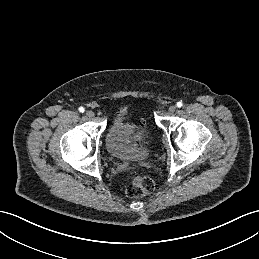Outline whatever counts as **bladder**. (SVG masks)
<instances>
[{
	"label": "bladder",
	"instance_id": "obj_1",
	"mask_svg": "<svg viewBox=\"0 0 259 259\" xmlns=\"http://www.w3.org/2000/svg\"><path fill=\"white\" fill-rule=\"evenodd\" d=\"M143 135V130L130 120L128 111L119 110L106 133V149L119 159L143 160L146 157Z\"/></svg>",
	"mask_w": 259,
	"mask_h": 259
}]
</instances>
